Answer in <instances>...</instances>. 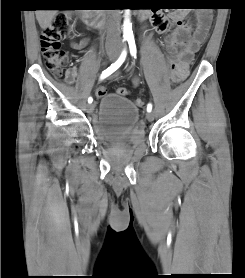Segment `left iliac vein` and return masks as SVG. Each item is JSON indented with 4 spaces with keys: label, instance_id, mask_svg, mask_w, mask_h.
Listing matches in <instances>:
<instances>
[{
    "label": "left iliac vein",
    "instance_id": "1",
    "mask_svg": "<svg viewBox=\"0 0 245 278\" xmlns=\"http://www.w3.org/2000/svg\"><path fill=\"white\" fill-rule=\"evenodd\" d=\"M154 113L153 112H147L146 118L148 121H152L154 119Z\"/></svg>",
    "mask_w": 245,
    "mask_h": 278
}]
</instances>
